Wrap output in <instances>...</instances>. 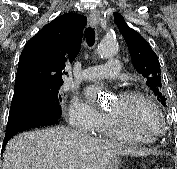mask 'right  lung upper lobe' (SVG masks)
I'll return each instance as SVG.
<instances>
[{"instance_id": "cb5924a9", "label": "right lung upper lobe", "mask_w": 177, "mask_h": 169, "mask_svg": "<svg viewBox=\"0 0 177 169\" xmlns=\"http://www.w3.org/2000/svg\"><path fill=\"white\" fill-rule=\"evenodd\" d=\"M84 16L66 13L44 26L25 45L21 54L14 92L29 83L62 85L65 66L80 51Z\"/></svg>"}]
</instances>
